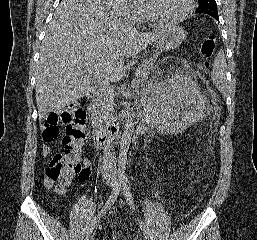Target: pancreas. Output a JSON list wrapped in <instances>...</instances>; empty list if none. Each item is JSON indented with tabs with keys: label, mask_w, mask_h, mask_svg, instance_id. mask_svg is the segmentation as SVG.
I'll list each match as a JSON object with an SVG mask.
<instances>
[{
	"label": "pancreas",
	"mask_w": 257,
	"mask_h": 240,
	"mask_svg": "<svg viewBox=\"0 0 257 240\" xmlns=\"http://www.w3.org/2000/svg\"><path fill=\"white\" fill-rule=\"evenodd\" d=\"M156 56L144 61L142 65L136 70V79L133 81V87L137 88L140 83L148 78V75L155 69ZM113 94L110 90L101 89L95 93V97L90 103L96 119L100 120L110 109L113 104Z\"/></svg>",
	"instance_id": "obj_1"
}]
</instances>
